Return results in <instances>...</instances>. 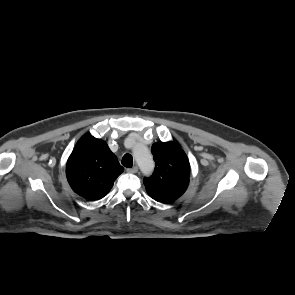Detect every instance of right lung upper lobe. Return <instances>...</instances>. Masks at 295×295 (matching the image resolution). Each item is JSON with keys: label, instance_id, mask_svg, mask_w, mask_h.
<instances>
[{"label": "right lung upper lobe", "instance_id": "1", "mask_svg": "<svg viewBox=\"0 0 295 295\" xmlns=\"http://www.w3.org/2000/svg\"><path fill=\"white\" fill-rule=\"evenodd\" d=\"M123 170L105 141L86 134L68 158L66 176L75 193L94 201L106 196Z\"/></svg>", "mask_w": 295, "mask_h": 295}]
</instances>
